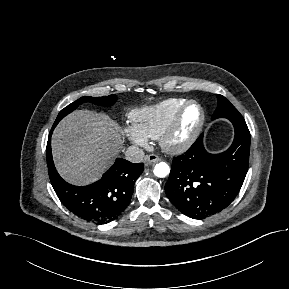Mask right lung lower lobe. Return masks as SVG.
Segmentation results:
<instances>
[{
  "mask_svg": "<svg viewBox=\"0 0 289 289\" xmlns=\"http://www.w3.org/2000/svg\"><path fill=\"white\" fill-rule=\"evenodd\" d=\"M47 148V166L51 184L60 201L78 217L98 224L116 219L131 200L134 183L144 170L143 164H134L122 158L103 174V177L87 186H74L57 173L51 154V135Z\"/></svg>",
  "mask_w": 289,
  "mask_h": 289,
  "instance_id": "98d812e1",
  "label": "right lung lower lobe"
}]
</instances>
